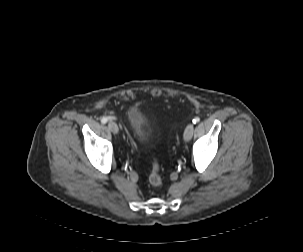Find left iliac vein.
<instances>
[{"instance_id": "4c4485c4", "label": "left iliac vein", "mask_w": 303, "mask_h": 252, "mask_svg": "<svg viewBox=\"0 0 303 252\" xmlns=\"http://www.w3.org/2000/svg\"><path fill=\"white\" fill-rule=\"evenodd\" d=\"M193 131H194V124L193 123H189L184 131V135L183 138L186 142L190 141L193 135Z\"/></svg>"}]
</instances>
